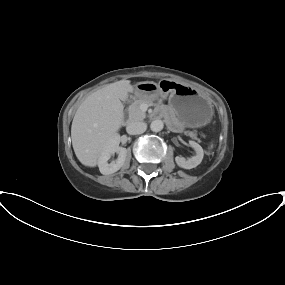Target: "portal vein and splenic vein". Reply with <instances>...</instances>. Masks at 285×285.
Listing matches in <instances>:
<instances>
[{"instance_id":"obj_1","label":"portal vein and splenic vein","mask_w":285,"mask_h":285,"mask_svg":"<svg viewBox=\"0 0 285 285\" xmlns=\"http://www.w3.org/2000/svg\"><path fill=\"white\" fill-rule=\"evenodd\" d=\"M147 108H148V105H147V104H142V105H141V110H142V111H146Z\"/></svg>"}]
</instances>
